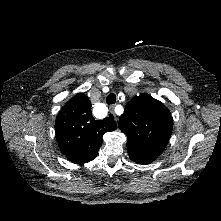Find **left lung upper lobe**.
I'll use <instances>...</instances> for the list:
<instances>
[{"label": "left lung upper lobe", "instance_id": "1", "mask_svg": "<svg viewBox=\"0 0 221 221\" xmlns=\"http://www.w3.org/2000/svg\"><path fill=\"white\" fill-rule=\"evenodd\" d=\"M119 127L127 135L130 158L138 164H149L165 149L173 120L162 102L142 94L127 103Z\"/></svg>", "mask_w": 221, "mask_h": 221}]
</instances>
